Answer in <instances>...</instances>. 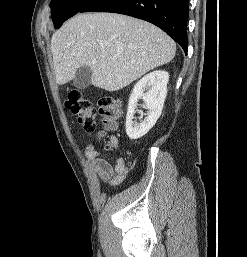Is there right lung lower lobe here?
<instances>
[{
    "mask_svg": "<svg viewBox=\"0 0 247 257\" xmlns=\"http://www.w3.org/2000/svg\"><path fill=\"white\" fill-rule=\"evenodd\" d=\"M189 0H92L79 12H113L146 20L174 39L187 54Z\"/></svg>",
    "mask_w": 247,
    "mask_h": 257,
    "instance_id": "1",
    "label": "right lung lower lobe"
}]
</instances>
